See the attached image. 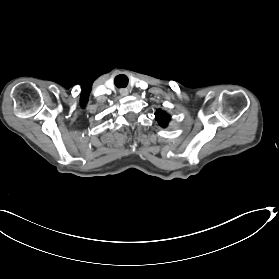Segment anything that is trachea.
I'll list each match as a JSON object with an SVG mask.
<instances>
[{
    "label": "trachea",
    "instance_id": "1",
    "mask_svg": "<svg viewBox=\"0 0 279 279\" xmlns=\"http://www.w3.org/2000/svg\"><path fill=\"white\" fill-rule=\"evenodd\" d=\"M128 84V78L124 74H120L115 77V85L118 88H125Z\"/></svg>",
    "mask_w": 279,
    "mask_h": 279
}]
</instances>
